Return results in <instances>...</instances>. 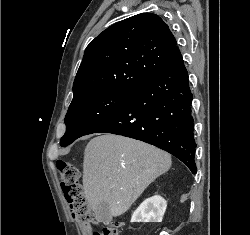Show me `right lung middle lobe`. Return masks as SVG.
<instances>
[{"instance_id":"right-lung-middle-lobe-1","label":"right lung middle lobe","mask_w":250,"mask_h":235,"mask_svg":"<svg viewBox=\"0 0 250 235\" xmlns=\"http://www.w3.org/2000/svg\"><path fill=\"white\" fill-rule=\"evenodd\" d=\"M132 94L126 91H94L72 100L65 117L66 132L60 145L65 147L86 135L123 106Z\"/></svg>"}]
</instances>
